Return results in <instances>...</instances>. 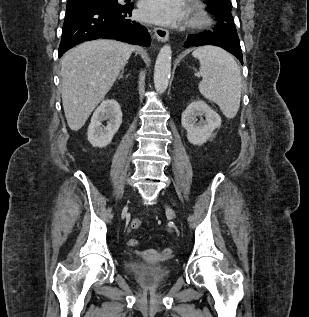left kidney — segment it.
Returning <instances> with one entry per match:
<instances>
[{"label": "left kidney", "instance_id": "obj_1", "mask_svg": "<svg viewBox=\"0 0 309 317\" xmlns=\"http://www.w3.org/2000/svg\"><path fill=\"white\" fill-rule=\"evenodd\" d=\"M205 116V121L196 124L197 116ZM182 126L187 131V139L193 145L204 144L216 128L221 126V117L204 101L190 103L181 117Z\"/></svg>", "mask_w": 309, "mask_h": 317}]
</instances>
